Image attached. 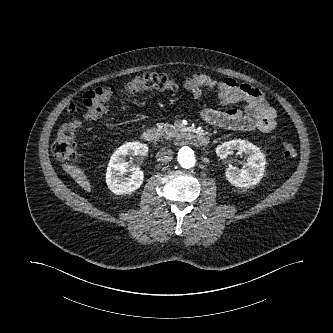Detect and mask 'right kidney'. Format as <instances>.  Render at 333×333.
Masks as SVG:
<instances>
[{
	"instance_id": "ca27d5eb",
	"label": "right kidney",
	"mask_w": 333,
	"mask_h": 333,
	"mask_svg": "<svg viewBox=\"0 0 333 333\" xmlns=\"http://www.w3.org/2000/svg\"><path fill=\"white\" fill-rule=\"evenodd\" d=\"M148 147L140 142H129L119 147L111 156L106 172L108 188L116 195L131 194L143 183L144 174L139 168L128 177L124 176L129 170L126 156L146 155Z\"/></svg>"
}]
</instances>
